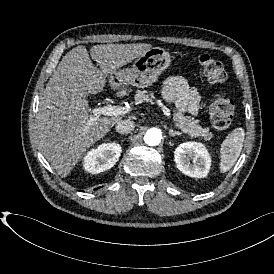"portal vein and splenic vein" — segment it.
<instances>
[{
	"mask_svg": "<svg viewBox=\"0 0 274 274\" xmlns=\"http://www.w3.org/2000/svg\"><path fill=\"white\" fill-rule=\"evenodd\" d=\"M157 104L162 108L163 113L166 116H170V110L167 108L160 100H157ZM130 108L115 106V105H107L98 108L92 109V116L90 117L87 125H91L92 122L96 121L101 115L104 116H120L128 113Z\"/></svg>",
	"mask_w": 274,
	"mask_h": 274,
	"instance_id": "1",
	"label": "portal vein and splenic vein"
}]
</instances>
